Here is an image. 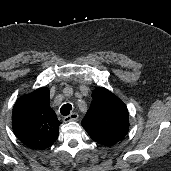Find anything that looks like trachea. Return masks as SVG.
Listing matches in <instances>:
<instances>
[{
  "mask_svg": "<svg viewBox=\"0 0 171 171\" xmlns=\"http://www.w3.org/2000/svg\"><path fill=\"white\" fill-rule=\"evenodd\" d=\"M70 110H72V105L71 104H64L61 108H60V113L63 116H68L70 114Z\"/></svg>",
  "mask_w": 171,
  "mask_h": 171,
  "instance_id": "trachea-1",
  "label": "trachea"
}]
</instances>
